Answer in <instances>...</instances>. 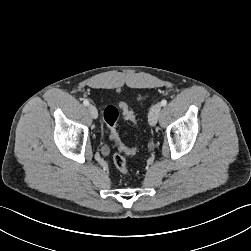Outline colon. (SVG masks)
I'll return each mask as SVG.
<instances>
[{"label": "colon", "instance_id": "obj_1", "mask_svg": "<svg viewBox=\"0 0 251 251\" xmlns=\"http://www.w3.org/2000/svg\"><path fill=\"white\" fill-rule=\"evenodd\" d=\"M119 108L122 111V114L127 121H129L133 124L136 123V117H135L133 111L128 107L127 104L120 103ZM118 116H119V110L116 106L109 105L104 109L103 118H104L105 124L108 127L110 138L117 145L119 150H121L122 152H124L127 155H134L137 152V149L136 148L130 149V148L124 147V145L122 144V142L119 138V134L116 129V123L118 120ZM112 160H113V164H114L115 168L121 174L128 173L126 160L121 154H119V153L114 154Z\"/></svg>", "mask_w": 251, "mask_h": 251}]
</instances>
